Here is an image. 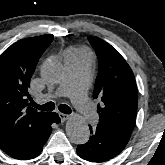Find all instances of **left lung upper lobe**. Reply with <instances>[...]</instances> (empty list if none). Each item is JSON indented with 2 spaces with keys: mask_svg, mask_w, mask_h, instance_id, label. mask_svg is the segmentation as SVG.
<instances>
[{
  "mask_svg": "<svg viewBox=\"0 0 165 165\" xmlns=\"http://www.w3.org/2000/svg\"><path fill=\"white\" fill-rule=\"evenodd\" d=\"M88 40L99 60L93 91V98L102 101L98 105V125L129 139L138 105L134 74L110 44L95 36H89Z\"/></svg>",
  "mask_w": 165,
  "mask_h": 165,
  "instance_id": "1",
  "label": "left lung upper lobe"
}]
</instances>
